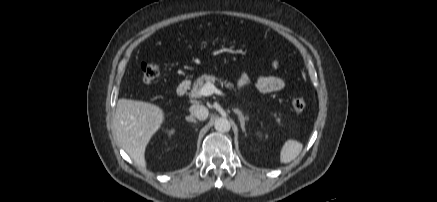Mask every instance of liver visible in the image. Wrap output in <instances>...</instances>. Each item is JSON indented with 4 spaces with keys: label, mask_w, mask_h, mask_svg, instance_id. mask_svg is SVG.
Returning <instances> with one entry per match:
<instances>
[{
    "label": "liver",
    "mask_w": 437,
    "mask_h": 202,
    "mask_svg": "<svg viewBox=\"0 0 437 202\" xmlns=\"http://www.w3.org/2000/svg\"><path fill=\"white\" fill-rule=\"evenodd\" d=\"M164 119V111L155 104L124 98L117 101L114 116L117 140L139 166L146 167V146Z\"/></svg>",
    "instance_id": "obj_1"
}]
</instances>
